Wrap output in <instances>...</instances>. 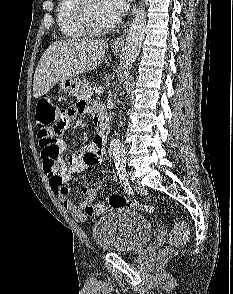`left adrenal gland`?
<instances>
[{"instance_id":"obj_1","label":"left adrenal gland","mask_w":233,"mask_h":294,"mask_svg":"<svg viewBox=\"0 0 233 294\" xmlns=\"http://www.w3.org/2000/svg\"><path fill=\"white\" fill-rule=\"evenodd\" d=\"M111 95V91H109V96Z\"/></svg>"}]
</instances>
